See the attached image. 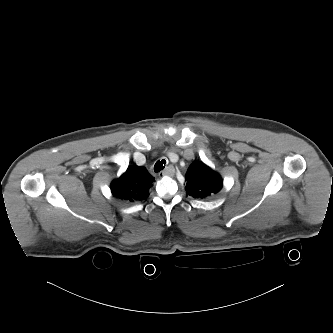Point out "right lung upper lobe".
Returning <instances> with one entry per match:
<instances>
[{"mask_svg": "<svg viewBox=\"0 0 333 333\" xmlns=\"http://www.w3.org/2000/svg\"><path fill=\"white\" fill-rule=\"evenodd\" d=\"M154 179L145 167L134 165L112 181V195L128 202L145 200L149 196V188Z\"/></svg>", "mask_w": 333, "mask_h": 333, "instance_id": "1", "label": "right lung upper lobe"}]
</instances>
